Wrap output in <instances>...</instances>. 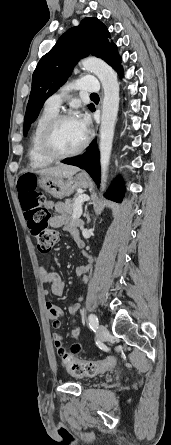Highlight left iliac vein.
Instances as JSON below:
<instances>
[{"mask_svg": "<svg viewBox=\"0 0 171 445\" xmlns=\"http://www.w3.org/2000/svg\"><path fill=\"white\" fill-rule=\"evenodd\" d=\"M97 334L99 338L103 341H105L109 336L108 329L102 324L97 326Z\"/></svg>", "mask_w": 171, "mask_h": 445, "instance_id": "1", "label": "left iliac vein"}]
</instances>
